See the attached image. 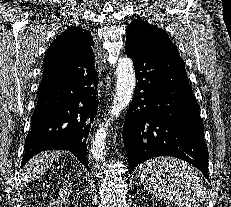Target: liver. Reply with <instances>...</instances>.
Instances as JSON below:
<instances>
[{"label":"liver","instance_id":"obj_1","mask_svg":"<svg viewBox=\"0 0 231 207\" xmlns=\"http://www.w3.org/2000/svg\"><path fill=\"white\" fill-rule=\"evenodd\" d=\"M61 156L60 151L43 152L32 158L24 168L22 179L31 181L42 176Z\"/></svg>","mask_w":231,"mask_h":207}]
</instances>
